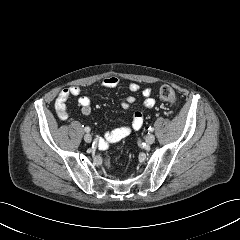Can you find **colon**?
Listing matches in <instances>:
<instances>
[{
	"mask_svg": "<svg viewBox=\"0 0 240 240\" xmlns=\"http://www.w3.org/2000/svg\"><path fill=\"white\" fill-rule=\"evenodd\" d=\"M159 94H160V97L170 103V104H174L176 102V94H175V91L173 90V88L169 85H163L161 88H160V91H159ZM105 162V165L106 166H110L111 164V161L109 158H105L104 160Z\"/></svg>",
	"mask_w": 240,
	"mask_h": 240,
	"instance_id": "obj_1",
	"label": "colon"
}]
</instances>
